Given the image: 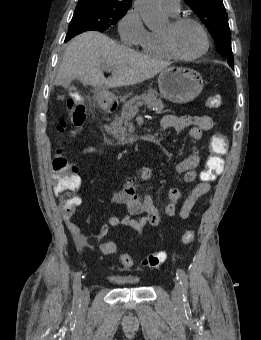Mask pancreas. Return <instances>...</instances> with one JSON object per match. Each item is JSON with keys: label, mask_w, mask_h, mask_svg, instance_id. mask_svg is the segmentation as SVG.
<instances>
[{"label": "pancreas", "mask_w": 261, "mask_h": 340, "mask_svg": "<svg viewBox=\"0 0 261 340\" xmlns=\"http://www.w3.org/2000/svg\"><path fill=\"white\" fill-rule=\"evenodd\" d=\"M145 104L149 109L155 110L157 113H163L164 104L161 99L157 98V91L150 89L147 93L140 96H134L129 101H126L123 105L121 114L115 118L112 123L109 133L119 143L125 144L134 132V126L131 122L132 115L137 112L138 107Z\"/></svg>", "instance_id": "pancreas-1"}]
</instances>
